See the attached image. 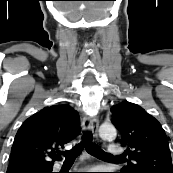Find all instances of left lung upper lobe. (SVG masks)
I'll list each match as a JSON object with an SVG mask.
<instances>
[{
	"label": "left lung upper lobe",
	"mask_w": 173,
	"mask_h": 173,
	"mask_svg": "<svg viewBox=\"0 0 173 173\" xmlns=\"http://www.w3.org/2000/svg\"><path fill=\"white\" fill-rule=\"evenodd\" d=\"M111 112L131 159L120 173H173L169 143L157 119L128 101L114 105Z\"/></svg>",
	"instance_id": "left-lung-upper-lobe-1"
}]
</instances>
